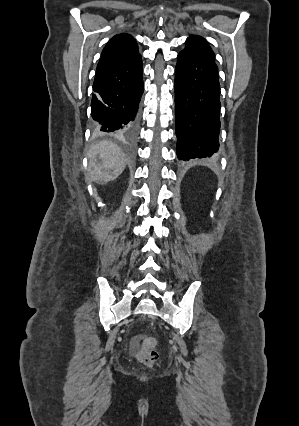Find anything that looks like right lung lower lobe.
Masks as SVG:
<instances>
[{
	"label": "right lung lower lobe",
	"mask_w": 299,
	"mask_h": 426,
	"mask_svg": "<svg viewBox=\"0 0 299 426\" xmlns=\"http://www.w3.org/2000/svg\"><path fill=\"white\" fill-rule=\"evenodd\" d=\"M91 114L98 131L133 139L143 94L141 55L97 67Z\"/></svg>",
	"instance_id": "right-lung-lower-lobe-1"
}]
</instances>
